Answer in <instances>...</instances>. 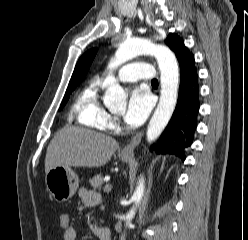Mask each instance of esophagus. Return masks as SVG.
I'll return each instance as SVG.
<instances>
[{"label":"esophagus","instance_id":"esophagus-1","mask_svg":"<svg viewBox=\"0 0 248 240\" xmlns=\"http://www.w3.org/2000/svg\"><path fill=\"white\" fill-rule=\"evenodd\" d=\"M143 136L142 132L137 133L131 140L130 142L122 149L121 153L124 155H130L133 154L134 149L136 148V146H138V144L141 141V138Z\"/></svg>","mask_w":248,"mask_h":240}]
</instances>
